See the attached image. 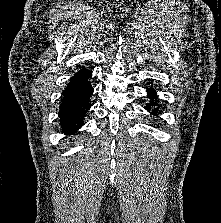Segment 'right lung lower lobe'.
I'll list each match as a JSON object with an SVG mask.
<instances>
[{"label": "right lung lower lobe", "instance_id": "right-lung-lower-lobe-1", "mask_svg": "<svg viewBox=\"0 0 221 223\" xmlns=\"http://www.w3.org/2000/svg\"><path fill=\"white\" fill-rule=\"evenodd\" d=\"M90 77L91 71L82 69L63 90L59 117L64 133L73 134L83 125V119L90 108L89 98L94 90L89 81Z\"/></svg>", "mask_w": 221, "mask_h": 223}]
</instances>
